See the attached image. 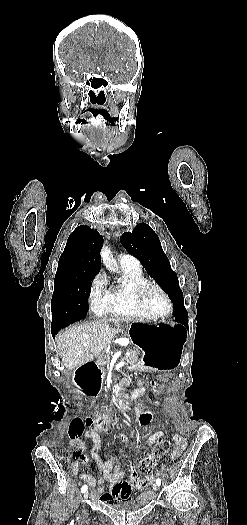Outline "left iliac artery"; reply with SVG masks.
Segmentation results:
<instances>
[{
    "label": "left iliac artery",
    "instance_id": "left-iliac-artery-1",
    "mask_svg": "<svg viewBox=\"0 0 247 525\" xmlns=\"http://www.w3.org/2000/svg\"><path fill=\"white\" fill-rule=\"evenodd\" d=\"M156 484H157L158 486L161 485V480H160L159 478L156 480Z\"/></svg>",
    "mask_w": 247,
    "mask_h": 525
}]
</instances>
